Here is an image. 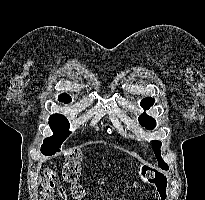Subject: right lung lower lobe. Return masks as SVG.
Listing matches in <instances>:
<instances>
[{
	"label": "right lung lower lobe",
	"instance_id": "obj_1",
	"mask_svg": "<svg viewBox=\"0 0 205 200\" xmlns=\"http://www.w3.org/2000/svg\"><path fill=\"white\" fill-rule=\"evenodd\" d=\"M41 152H42L44 155H47V156L54 154V151L46 150V149H43L42 147H41Z\"/></svg>",
	"mask_w": 205,
	"mask_h": 200
}]
</instances>
